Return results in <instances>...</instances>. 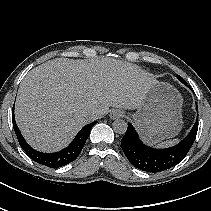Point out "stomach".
<instances>
[{
    "label": "stomach",
    "instance_id": "obj_1",
    "mask_svg": "<svg viewBox=\"0 0 211 211\" xmlns=\"http://www.w3.org/2000/svg\"><path fill=\"white\" fill-rule=\"evenodd\" d=\"M182 104L183 99L177 89L169 83L156 81L132 116L144 141L156 144L176 136L183 124Z\"/></svg>",
    "mask_w": 211,
    "mask_h": 211
}]
</instances>
